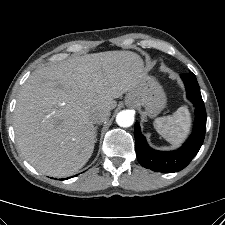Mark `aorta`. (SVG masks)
I'll list each match as a JSON object with an SVG mask.
<instances>
[{
	"instance_id": "aorta-1",
	"label": "aorta",
	"mask_w": 225,
	"mask_h": 225,
	"mask_svg": "<svg viewBox=\"0 0 225 225\" xmlns=\"http://www.w3.org/2000/svg\"><path fill=\"white\" fill-rule=\"evenodd\" d=\"M116 122L120 127H130L134 122V114L130 110L120 111L116 116Z\"/></svg>"
}]
</instances>
